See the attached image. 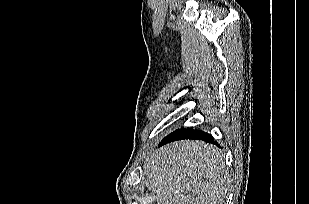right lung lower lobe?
I'll use <instances>...</instances> for the list:
<instances>
[{
	"instance_id": "1",
	"label": "right lung lower lobe",
	"mask_w": 309,
	"mask_h": 204,
	"mask_svg": "<svg viewBox=\"0 0 309 204\" xmlns=\"http://www.w3.org/2000/svg\"><path fill=\"white\" fill-rule=\"evenodd\" d=\"M181 139H199L204 140L205 142H210L217 144V142H214V139L212 135L205 133L203 131L193 130V129H178L171 134H169L167 137H165L158 146H162L166 143H170L172 141L181 140Z\"/></svg>"
}]
</instances>
